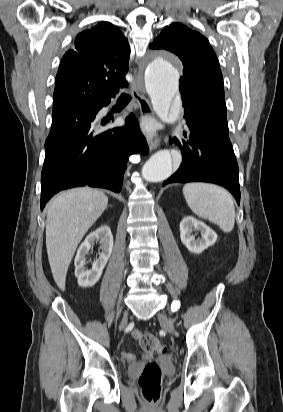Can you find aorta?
Listing matches in <instances>:
<instances>
[{"label":"aorta","mask_w":283,"mask_h":412,"mask_svg":"<svg viewBox=\"0 0 283 412\" xmlns=\"http://www.w3.org/2000/svg\"><path fill=\"white\" fill-rule=\"evenodd\" d=\"M179 72L164 53H157L147 64L145 86L152 107L158 117L172 121V105L178 94ZM173 172V159L170 151L161 150L153 154L143 167L142 175L146 181L161 182Z\"/></svg>","instance_id":"1"}]
</instances>
